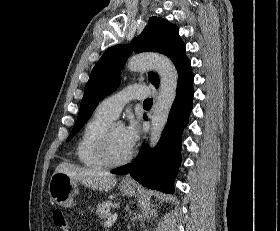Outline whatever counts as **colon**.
<instances>
[{
    "label": "colon",
    "mask_w": 280,
    "mask_h": 231,
    "mask_svg": "<svg viewBox=\"0 0 280 231\" xmlns=\"http://www.w3.org/2000/svg\"><path fill=\"white\" fill-rule=\"evenodd\" d=\"M53 219L55 220V225H62L59 231H72L71 225H66V220L62 219V212L61 211H54L53 212Z\"/></svg>",
    "instance_id": "obj_1"
}]
</instances>
